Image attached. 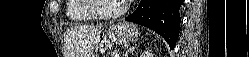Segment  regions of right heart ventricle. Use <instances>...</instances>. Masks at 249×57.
<instances>
[{"instance_id": "e07e8e85", "label": "right heart ventricle", "mask_w": 249, "mask_h": 57, "mask_svg": "<svg viewBox=\"0 0 249 57\" xmlns=\"http://www.w3.org/2000/svg\"><path fill=\"white\" fill-rule=\"evenodd\" d=\"M87 0H68L66 7V16L71 21H90L95 16L85 8Z\"/></svg>"}]
</instances>
